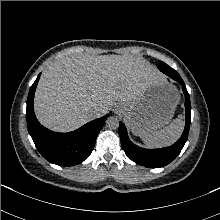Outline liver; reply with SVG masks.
Segmentation results:
<instances>
[{"instance_id":"obj_1","label":"liver","mask_w":220,"mask_h":220,"mask_svg":"<svg viewBox=\"0 0 220 220\" xmlns=\"http://www.w3.org/2000/svg\"><path fill=\"white\" fill-rule=\"evenodd\" d=\"M163 78L146 60L131 55L75 54L51 63L42 73L34 98L39 122L58 131H73L103 116L115 101L138 97ZM100 108L96 117L89 109Z\"/></svg>"}]
</instances>
